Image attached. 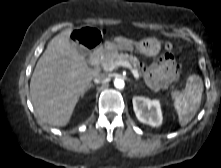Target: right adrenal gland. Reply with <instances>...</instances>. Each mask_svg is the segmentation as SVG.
<instances>
[{"mask_svg":"<svg viewBox=\"0 0 221 168\" xmlns=\"http://www.w3.org/2000/svg\"><path fill=\"white\" fill-rule=\"evenodd\" d=\"M93 87H94L93 85H90V86H89V89H90V88H93Z\"/></svg>","mask_w":221,"mask_h":168,"instance_id":"right-adrenal-gland-1","label":"right adrenal gland"}]
</instances>
